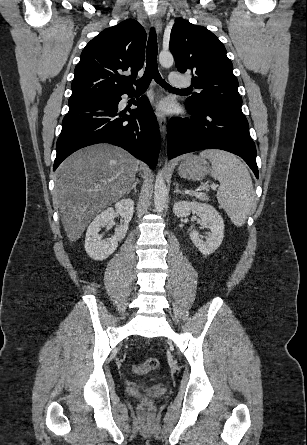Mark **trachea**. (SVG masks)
<instances>
[{
  "label": "trachea",
  "mask_w": 307,
  "mask_h": 445,
  "mask_svg": "<svg viewBox=\"0 0 307 445\" xmlns=\"http://www.w3.org/2000/svg\"><path fill=\"white\" fill-rule=\"evenodd\" d=\"M152 79H154L159 85L166 89H174L165 80L162 79L158 67H157V37L156 32L152 28L147 44L146 50V68L144 75L135 81V85L138 89H146L149 87ZM187 90V89H182Z\"/></svg>",
  "instance_id": "trachea-1"
}]
</instances>
